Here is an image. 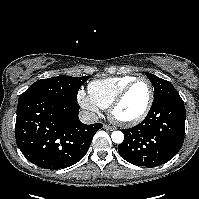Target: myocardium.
Here are the masks:
<instances>
[{
    "mask_svg": "<svg viewBox=\"0 0 199 199\" xmlns=\"http://www.w3.org/2000/svg\"><path fill=\"white\" fill-rule=\"evenodd\" d=\"M140 81H145L148 83L149 85V89H150V93H149V98L147 101V104L144 108V110L142 111V113L140 115H138L135 118H131V119H120L115 115V111L118 108V106L124 101L127 93L129 92V90L137 83ZM154 86L152 84V82L146 78V77H136L134 78L129 84H127L125 86V88L116 96V98L114 99V101L109 105L108 107V115L109 117L116 122L117 124L121 125V126H133L136 125L138 123H140L141 121H143L146 116L148 115V113L150 112V109L152 107L153 101H154Z\"/></svg>",
    "mask_w": 199,
    "mask_h": 199,
    "instance_id": "myocardium-1",
    "label": "myocardium"
}]
</instances>
